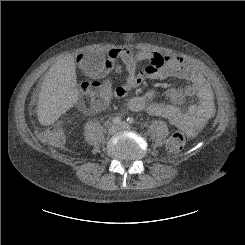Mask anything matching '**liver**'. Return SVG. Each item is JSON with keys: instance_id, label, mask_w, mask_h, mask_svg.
Here are the masks:
<instances>
[{"instance_id": "obj_1", "label": "liver", "mask_w": 245, "mask_h": 245, "mask_svg": "<svg viewBox=\"0 0 245 245\" xmlns=\"http://www.w3.org/2000/svg\"><path fill=\"white\" fill-rule=\"evenodd\" d=\"M76 66L72 55L53 64L47 72L39 94L37 116L41 125L53 124L72 108L78 99Z\"/></svg>"}]
</instances>
